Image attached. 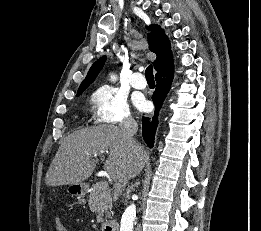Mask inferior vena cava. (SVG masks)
Listing matches in <instances>:
<instances>
[{"label":"inferior vena cava","mask_w":261,"mask_h":231,"mask_svg":"<svg viewBox=\"0 0 261 231\" xmlns=\"http://www.w3.org/2000/svg\"><path fill=\"white\" fill-rule=\"evenodd\" d=\"M121 132L124 141L132 148L134 153H138L140 150L139 144L133 138L138 130V124L132 117H126L120 124Z\"/></svg>","instance_id":"obj_1"}]
</instances>
